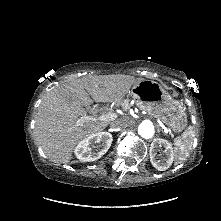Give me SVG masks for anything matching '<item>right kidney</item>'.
Returning a JSON list of instances; mask_svg holds the SVG:
<instances>
[{"label": "right kidney", "mask_w": 221, "mask_h": 221, "mask_svg": "<svg viewBox=\"0 0 221 221\" xmlns=\"http://www.w3.org/2000/svg\"><path fill=\"white\" fill-rule=\"evenodd\" d=\"M112 141V135L108 132L95 133L80 141L75 147L74 153L80 161H95L108 151ZM95 144L97 145L95 146Z\"/></svg>", "instance_id": "right-kidney-1"}]
</instances>
